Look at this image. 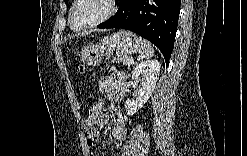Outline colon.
<instances>
[{
	"label": "colon",
	"mask_w": 247,
	"mask_h": 156,
	"mask_svg": "<svg viewBox=\"0 0 247 156\" xmlns=\"http://www.w3.org/2000/svg\"><path fill=\"white\" fill-rule=\"evenodd\" d=\"M78 70L80 74L85 73V67L83 65H79ZM102 106H105V98H96L93 107H90V110H87L86 124L90 126V130H97V125L92 124H97V121L102 118V113H100Z\"/></svg>",
	"instance_id": "colon-1"
}]
</instances>
